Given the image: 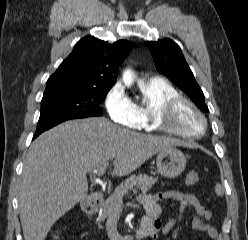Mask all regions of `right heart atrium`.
<instances>
[{
    "mask_svg": "<svg viewBox=\"0 0 248 240\" xmlns=\"http://www.w3.org/2000/svg\"><path fill=\"white\" fill-rule=\"evenodd\" d=\"M104 106L112 121L131 129L137 128L138 118L134 103L125 93L121 82H116L107 91Z\"/></svg>",
    "mask_w": 248,
    "mask_h": 240,
    "instance_id": "d8ad5b80",
    "label": "right heart atrium"
}]
</instances>
